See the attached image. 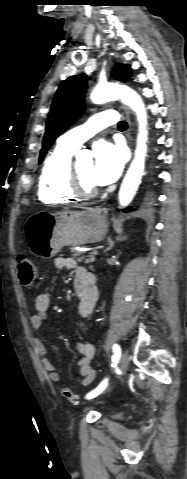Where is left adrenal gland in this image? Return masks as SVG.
<instances>
[{"instance_id":"obj_1","label":"left adrenal gland","mask_w":187,"mask_h":479,"mask_svg":"<svg viewBox=\"0 0 187 479\" xmlns=\"http://www.w3.org/2000/svg\"><path fill=\"white\" fill-rule=\"evenodd\" d=\"M107 242H108V247L106 248L105 252L111 250L113 248L114 244H115V242L112 241V239L110 237L107 239Z\"/></svg>"}]
</instances>
